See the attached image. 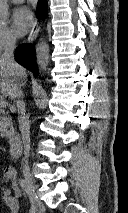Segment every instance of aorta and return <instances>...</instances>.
<instances>
[{
  "label": "aorta",
  "instance_id": "762f6f07",
  "mask_svg": "<svg viewBox=\"0 0 128 213\" xmlns=\"http://www.w3.org/2000/svg\"><path fill=\"white\" fill-rule=\"evenodd\" d=\"M7 0H0V25L7 22L8 19ZM36 62L41 70H46L49 63V46L45 41H40L36 47Z\"/></svg>",
  "mask_w": 128,
  "mask_h": 213
}]
</instances>
